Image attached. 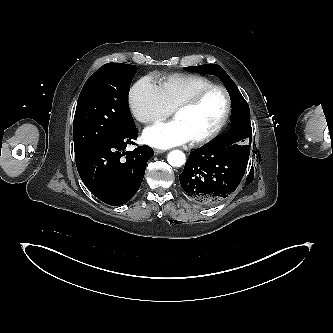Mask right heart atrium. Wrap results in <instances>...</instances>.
<instances>
[{"label": "right heart atrium", "mask_w": 333, "mask_h": 333, "mask_svg": "<svg viewBox=\"0 0 333 333\" xmlns=\"http://www.w3.org/2000/svg\"><path fill=\"white\" fill-rule=\"evenodd\" d=\"M129 107L133 117L143 124L161 121L172 112L159 87L148 77L133 85L129 94Z\"/></svg>", "instance_id": "obj_1"}]
</instances>
